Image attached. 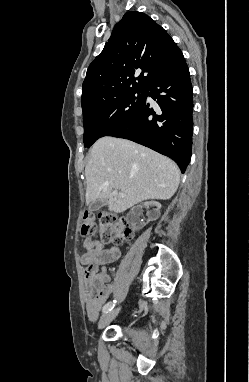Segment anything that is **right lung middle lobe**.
Wrapping results in <instances>:
<instances>
[{
  "label": "right lung middle lobe",
  "instance_id": "obj_1",
  "mask_svg": "<svg viewBox=\"0 0 249 382\" xmlns=\"http://www.w3.org/2000/svg\"><path fill=\"white\" fill-rule=\"evenodd\" d=\"M144 96V89H136L82 108L85 147H90L97 139L108 136L132 119L141 108Z\"/></svg>",
  "mask_w": 249,
  "mask_h": 382
}]
</instances>
